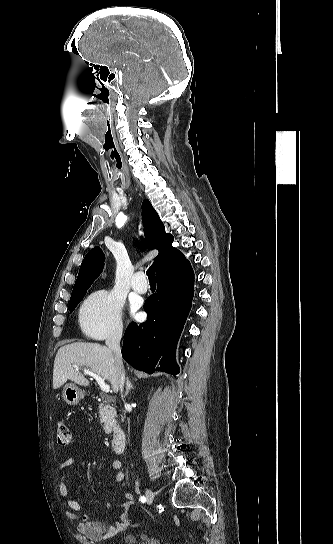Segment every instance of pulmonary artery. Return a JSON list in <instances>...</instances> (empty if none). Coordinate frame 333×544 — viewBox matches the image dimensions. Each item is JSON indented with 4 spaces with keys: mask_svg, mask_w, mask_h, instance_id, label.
<instances>
[{
    "mask_svg": "<svg viewBox=\"0 0 333 544\" xmlns=\"http://www.w3.org/2000/svg\"><path fill=\"white\" fill-rule=\"evenodd\" d=\"M132 288L138 293H146L148 290V282L146 281L143 272H137L132 277Z\"/></svg>",
    "mask_w": 333,
    "mask_h": 544,
    "instance_id": "1",
    "label": "pulmonary artery"
}]
</instances>
